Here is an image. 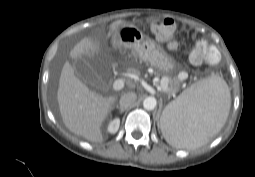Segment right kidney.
Segmentation results:
<instances>
[{
	"mask_svg": "<svg viewBox=\"0 0 255 177\" xmlns=\"http://www.w3.org/2000/svg\"><path fill=\"white\" fill-rule=\"evenodd\" d=\"M120 126V119L116 118L113 121H111L107 127V131L111 134H114L118 131Z\"/></svg>",
	"mask_w": 255,
	"mask_h": 177,
	"instance_id": "1",
	"label": "right kidney"
}]
</instances>
